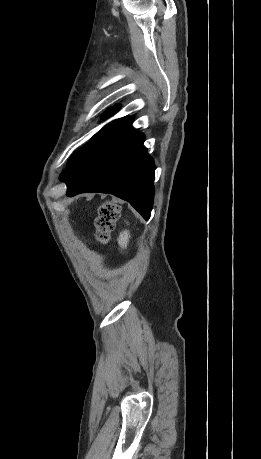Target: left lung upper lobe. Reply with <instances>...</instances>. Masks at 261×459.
Listing matches in <instances>:
<instances>
[{
  "label": "left lung upper lobe",
  "instance_id": "1",
  "mask_svg": "<svg viewBox=\"0 0 261 459\" xmlns=\"http://www.w3.org/2000/svg\"><path fill=\"white\" fill-rule=\"evenodd\" d=\"M118 107H113L106 112V116H110L117 110ZM130 118L124 117L114 120L104 126L96 133L91 140L78 151H76L67 163V169L62 174V179L66 181L73 172L78 169L85 161H87L108 139H110Z\"/></svg>",
  "mask_w": 261,
  "mask_h": 459
}]
</instances>
